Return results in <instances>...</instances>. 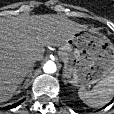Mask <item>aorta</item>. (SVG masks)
I'll return each instance as SVG.
<instances>
[{
    "instance_id": "762f6f07",
    "label": "aorta",
    "mask_w": 114,
    "mask_h": 114,
    "mask_svg": "<svg viewBox=\"0 0 114 114\" xmlns=\"http://www.w3.org/2000/svg\"><path fill=\"white\" fill-rule=\"evenodd\" d=\"M43 70L46 73H54L56 71V64L52 61H48L44 64Z\"/></svg>"
}]
</instances>
